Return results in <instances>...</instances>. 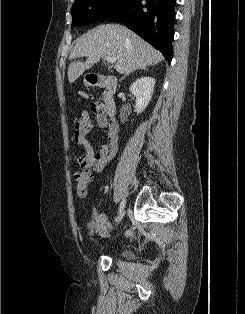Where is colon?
I'll use <instances>...</instances> for the list:
<instances>
[{"instance_id": "1", "label": "colon", "mask_w": 245, "mask_h": 314, "mask_svg": "<svg viewBox=\"0 0 245 314\" xmlns=\"http://www.w3.org/2000/svg\"><path fill=\"white\" fill-rule=\"evenodd\" d=\"M91 179H92V173L87 168H84L76 172L74 176V185L79 196L81 197L86 196Z\"/></svg>"}]
</instances>
